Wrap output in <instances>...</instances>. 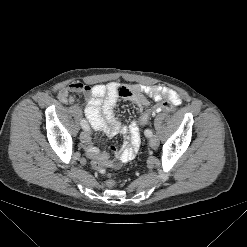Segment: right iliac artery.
<instances>
[{
    "mask_svg": "<svg viewBox=\"0 0 247 247\" xmlns=\"http://www.w3.org/2000/svg\"><path fill=\"white\" fill-rule=\"evenodd\" d=\"M80 124H81L83 129H85L87 131L90 130L89 125H88V123H87V121L85 119H82Z\"/></svg>",
    "mask_w": 247,
    "mask_h": 247,
    "instance_id": "right-iliac-artery-1",
    "label": "right iliac artery"
}]
</instances>
